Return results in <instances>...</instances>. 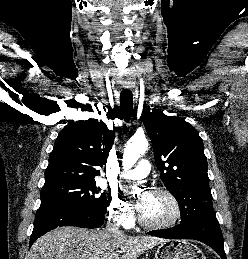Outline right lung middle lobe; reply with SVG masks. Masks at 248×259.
Returning a JSON list of instances; mask_svg holds the SVG:
<instances>
[{"label":"right lung middle lobe","mask_w":248,"mask_h":259,"mask_svg":"<svg viewBox=\"0 0 248 259\" xmlns=\"http://www.w3.org/2000/svg\"><path fill=\"white\" fill-rule=\"evenodd\" d=\"M95 180H64L45 183L41 205L76 207L92 215H104L108 206L105 193L99 194Z\"/></svg>","instance_id":"1"}]
</instances>
